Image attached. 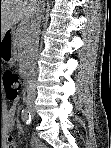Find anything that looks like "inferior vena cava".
<instances>
[{
	"mask_svg": "<svg viewBox=\"0 0 111 148\" xmlns=\"http://www.w3.org/2000/svg\"><path fill=\"white\" fill-rule=\"evenodd\" d=\"M44 1L39 0L35 12L31 16L30 21V55H31V74L28 81L27 87V100L33 101L36 98V61L38 57L39 48V35H40V25L42 22L43 11H44Z\"/></svg>",
	"mask_w": 111,
	"mask_h": 148,
	"instance_id": "1",
	"label": "inferior vena cava"
}]
</instances>
